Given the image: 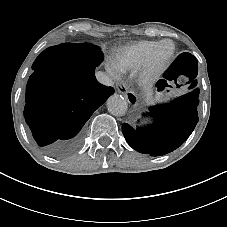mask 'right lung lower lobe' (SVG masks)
Returning a JSON list of instances; mask_svg holds the SVG:
<instances>
[{
	"instance_id": "1",
	"label": "right lung lower lobe",
	"mask_w": 227,
	"mask_h": 227,
	"mask_svg": "<svg viewBox=\"0 0 227 227\" xmlns=\"http://www.w3.org/2000/svg\"><path fill=\"white\" fill-rule=\"evenodd\" d=\"M26 87L24 117L42 150L53 157L74 152L81 144L80 130L114 93L100 84L94 69L81 64L63 43L45 49L32 65Z\"/></svg>"
}]
</instances>
